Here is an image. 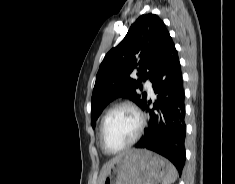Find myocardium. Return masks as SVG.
I'll list each match as a JSON object with an SVG mask.
<instances>
[{
	"label": "myocardium",
	"instance_id": "f54148a6",
	"mask_svg": "<svg viewBox=\"0 0 235 184\" xmlns=\"http://www.w3.org/2000/svg\"><path fill=\"white\" fill-rule=\"evenodd\" d=\"M121 108H128L136 114L138 118V129H137L135 136L126 145H124L123 147L119 149L111 150L104 143V134H105L110 116L112 115L113 112ZM145 124H146L145 115L136 105L130 102H120V103L115 104L104 115L101 126H100L99 144H100L101 149L109 155H118L122 153L126 149L132 147L140 139V137L142 136L144 132Z\"/></svg>",
	"mask_w": 235,
	"mask_h": 184
}]
</instances>
